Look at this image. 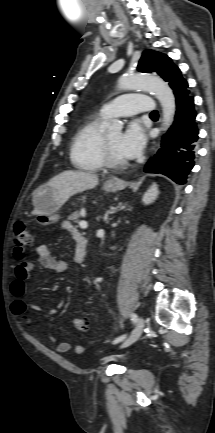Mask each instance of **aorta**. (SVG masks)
<instances>
[{"instance_id": "1", "label": "aorta", "mask_w": 215, "mask_h": 433, "mask_svg": "<svg viewBox=\"0 0 215 433\" xmlns=\"http://www.w3.org/2000/svg\"><path fill=\"white\" fill-rule=\"evenodd\" d=\"M120 90L145 89L154 92L162 106V116L165 130L168 129L174 119L176 104L173 91L163 79L148 74H130L119 79ZM122 123L114 121L109 123L110 132L119 133L122 130Z\"/></svg>"}]
</instances>
